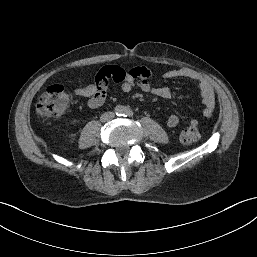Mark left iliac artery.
I'll list each match as a JSON object with an SVG mask.
<instances>
[{"label":"left iliac artery","instance_id":"1","mask_svg":"<svg viewBox=\"0 0 257 257\" xmlns=\"http://www.w3.org/2000/svg\"><path fill=\"white\" fill-rule=\"evenodd\" d=\"M134 115L133 111L130 108H125L123 112V116L125 117H132Z\"/></svg>","mask_w":257,"mask_h":257}]
</instances>
